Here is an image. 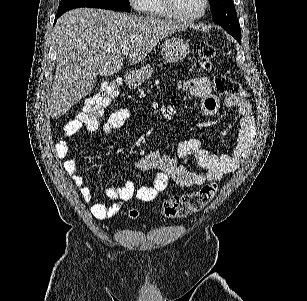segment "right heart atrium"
Instances as JSON below:
<instances>
[{"label": "right heart atrium", "mask_w": 307, "mask_h": 301, "mask_svg": "<svg viewBox=\"0 0 307 301\" xmlns=\"http://www.w3.org/2000/svg\"><path fill=\"white\" fill-rule=\"evenodd\" d=\"M130 2L135 5L136 11H151L152 9L148 0H130Z\"/></svg>", "instance_id": "1"}]
</instances>
